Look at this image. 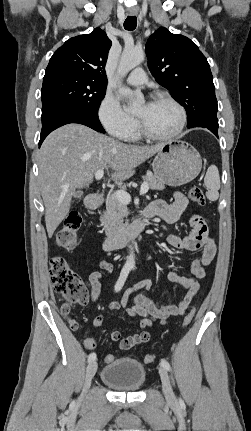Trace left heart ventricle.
Returning a JSON list of instances; mask_svg holds the SVG:
<instances>
[{
    "instance_id": "obj_1",
    "label": "left heart ventricle",
    "mask_w": 251,
    "mask_h": 431,
    "mask_svg": "<svg viewBox=\"0 0 251 431\" xmlns=\"http://www.w3.org/2000/svg\"><path fill=\"white\" fill-rule=\"evenodd\" d=\"M135 115L149 131L161 135L172 132L180 117L178 110L166 101L142 103L136 109Z\"/></svg>"
}]
</instances>
